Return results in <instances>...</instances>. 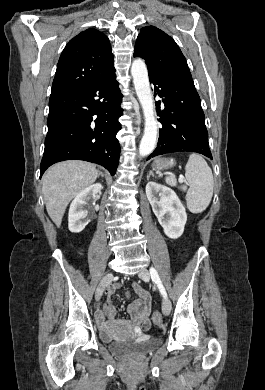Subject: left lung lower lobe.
<instances>
[{"label": "left lung lower lobe", "mask_w": 265, "mask_h": 390, "mask_svg": "<svg viewBox=\"0 0 265 390\" xmlns=\"http://www.w3.org/2000/svg\"><path fill=\"white\" fill-rule=\"evenodd\" d=\"M155 86L154 93L163 97L156 104L162 128L159 131L157 148L147 160L173 152H197L212 159L208 132L200 97L192 79H162L150 77Z\"/></svg>", "instance_id": "left-lung-lower-lobe-1"}]
</instances>
